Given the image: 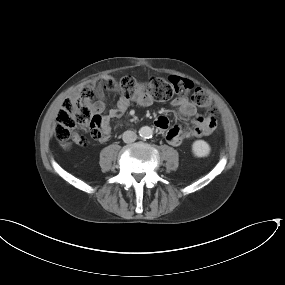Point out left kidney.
Here are the masks:
<instances>
[{
	"mask_svg": "<svg viewBox=\"0 0 285 285\" xmlns=\"http://www.w3.org/2000/svg\"><path fill=\"white\" fill-rule=\"evenodd\" d=\"M210 146L209 144L204 140H196L192 144V152L197 157H206L210 153Z\"/></svg>",
	"mask_w": 285,
	"mask_h": 285,
	"instance_id": "left-kidney-1",
	"label": "left kidney"
}]
</instances>
